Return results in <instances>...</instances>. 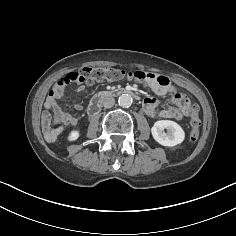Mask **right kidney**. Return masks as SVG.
Returning a JSON list of instances; mask_svg holds the SVG:
<instances>
[{
	"label": "right kidney",
	"instance_id": "right-kidney-1",
	"mask_svg": "<svg viewBox=\"0 0 236 236\" xmlns=\"http://www.w3.org/2000/svg\"><path fill=\"white\" fill-rule=\"evenodd\" d=\"M80 136V133L78 130H72L70 133H69V136H68V140L69 141H75L79 138Z\"/></svg>",
	"mask_w": 236,
	"mask_h": 236
}]
</instances>
